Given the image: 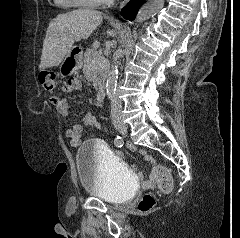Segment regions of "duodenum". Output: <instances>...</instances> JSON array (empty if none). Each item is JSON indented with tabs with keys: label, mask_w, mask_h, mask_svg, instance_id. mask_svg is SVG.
Instances as JSON below:
<instances>
[{
	"label": "duodenum",
	"mask_w": 240,
	"mask_h": 238,
	"mask_svg": "<svg viewBox=\"0 0 240 238\" xmlns=\"http://www.w3.org/2000/svg\"><path fill=\"white\" fill-rule=\"evenodd\" d=\"M106 89L104 85H101L96 94V100L101 102L105 97Z\"/></svg>",
	"instance_id": "duodenum-1"
}]
</instances>
